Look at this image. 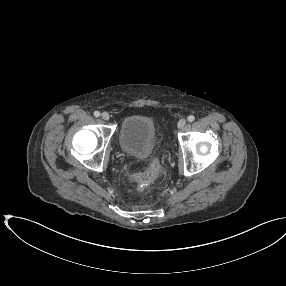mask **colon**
Wrapping results in <instances>:
<instances>
[{
	"label": "colon",
	"mask_w": 286,
	"mask_h": 286,
	"mask_svg": "<svg viewBox=\"0 0 286 286\" xmlns=\"http://www.w3.org/2000/svg\"><path fill=\"white\" fill-rule=\"evenodd\" d=\"M161 171V163L159 158H154L149 167L138 173L131 174V179L141 185H148L152 183Z\"/></svg>",
	"instance_id": "colon-1"
}]
</instances>
